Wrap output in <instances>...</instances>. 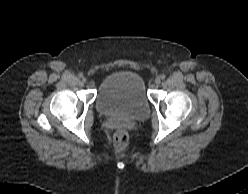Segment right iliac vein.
<instances>
[{"mask_svg": "<svg viewBox=\"0 0 248 194\" xmlns=\"http://www.w3.org/2000/svg\"><path fill=\"white\" fill-rule=\"evenodd\" d=\"M82 81H83V82H86V81H87V79H86L85 77H83V78H82Z\"/></svg>", "mask_w": 248, "mask_h": 194, "instance_id": "1", "label": "right iliac vein"}]
</instances>
